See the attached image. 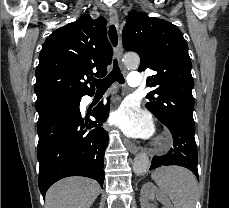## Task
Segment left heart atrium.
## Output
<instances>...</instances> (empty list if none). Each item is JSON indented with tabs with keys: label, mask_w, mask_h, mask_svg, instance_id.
<instances>
[{
	"label": "left heart atrium",
	"mask_w": 229,
	"mask_h": 208,
	"mask_svg": "<svg viewBox=\"0 0 229 208\" xmlns=\"http://www.w3.org/2000/svg\"><path fill=\"white\" fill-rule=\"evenodd\" d=\"M110 124L117 126L128 136L148 138L153 131L151 117L132 101H126L113 112Z\"/></svg>",
	"instance_id": "1"
}]
</instances>
